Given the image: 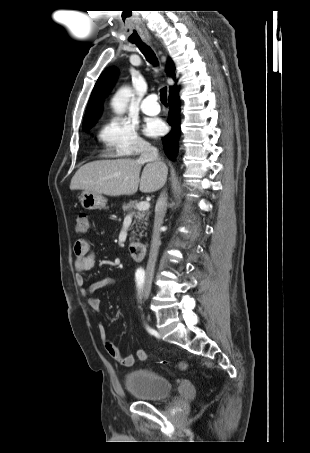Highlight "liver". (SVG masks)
<instances>
[{"label":"liver","instance_id":"1","mask_svg":"<svg viewBox=\"0 0 310 453\" xmlns=\"http://www.w3.org/2000/svg\"><path fill=\"white\" fill-rule=\"evenodd\" d=\"M124 158L97 160L81 166L71 179V190H84L107 196L133 195L158 191L166 182L167 167L153 162Z\"/></svg>","mask_w":310,"mask_h":453}]
</instances>
